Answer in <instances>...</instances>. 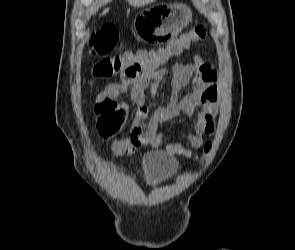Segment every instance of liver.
Segmentation results:
<instances>
[{"instance_id":"liver-1","label":"liver","mask_w":295,"mask_h":250,"mask_svg":"<svg viewBox=\"0 0 295 250\" xmlns=\"http://www.w3.org/2000/svg\"><path fill=\"white\" fill-rule=\"evenodd\" d=\"M155 0H128L129 4L134 7H142L149 3H153ZM109 11V8L103 10L101 15H105Z\"/></svg>"}]
</instances>
